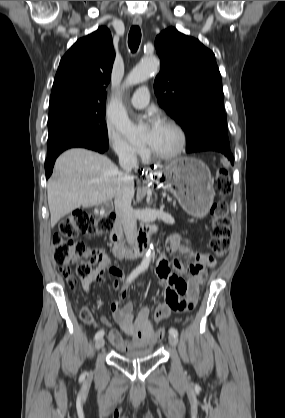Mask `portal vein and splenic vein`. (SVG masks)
I'll return each mask as SVG.
<instances>
[{
	"mask_svg": "<svg viewBox=\"0 0 285 418\" xmlns=\"http://www.w3.org/2000/svg\"><path fill=\"white\" fill-rule=\"evenodd\" d=\"M167 200L170 202L171 201V198H167Z\"/></svg>",
	"mask_w": 285,
	"mask_h": 418,
	"instance_id": "18ae733b",
	"label": "portal vein and splenic vein"
}]
</instances>
